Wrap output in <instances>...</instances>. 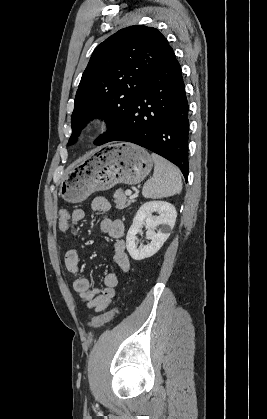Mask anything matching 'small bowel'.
I'll list each match as a JSON object with an SVG mask.
<instances>
[{
  "instance_id": "1",
  "label": "small bowel",
  "mask_w": 267,
  "mask_h": 419,
  "mask_svg": "<svg viewBox=\"0 0 267 419\" xmlns=\"http://www.w3.org/2000/svg\"><path fill=\"white\" fill-rule=\"evenodd\" d=\"M91 210L97 213L107 212L110 209L109 202L104 197H96L91 202ZM85 217V211L76 209L70 216V231L75 225ZM100 229L107 234L113 241V260L120 273H126L130 269V261L125 251V242L122 239L124 234V224L118 219L106 217L100 223ZM67 270L75 276L73 289L80 299L86 303L87 307L96 312L103 311L110 304L116 295V287L119 284L120 275L118 272H109L104 277L103 289L92 286L89 279L81 275L79 251L71 246L67 249L64 257Z\"/></svg>"
}]
</instances>
